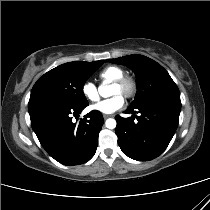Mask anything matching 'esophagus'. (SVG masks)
Masks as SVG:
<instances>
[{
  "mask_svg": "<svg viewBox=\"0 0 210 210\" xmlns=\"http://www.w3.org/2000/svg\"><path fill=\"white\" fill-rule=\"evenodd\" d=\"M109 117H111V115H107V114H104V115H103V118H104V119H107V118H109Z\"/></svg>",
  "mask_w": 210,
  "mask_h": 210,
  "instance_id": "esophagus-1",
  "label": "esophagus"
}]
</instances>
